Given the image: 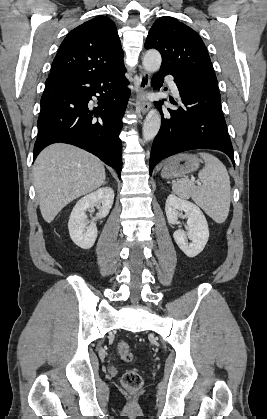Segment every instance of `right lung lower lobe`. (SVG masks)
I'll list each match as a JSON object with an SVG mask.
<instances>
[{"label": "right lung lower lobe", "instance_id": "obj_1", "mask_svg": "<svg viewBox=\"0 0 267 419\" xmlns=\"http://www.w3.org/2000/svg\"><path fill=\"white\" fill-rule=\"evenodd\" d=\"M124 65L108 73L47 79L41 98L34 159L46 146L63 142L78 146L116 169H122L119 133L129 90ZM97 96L98 107L88 106Z\"/></svg>", "mask_w": 267, "mask_h": 419}]
</instances>
